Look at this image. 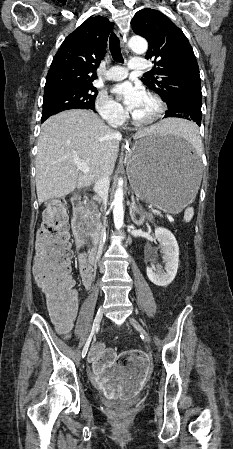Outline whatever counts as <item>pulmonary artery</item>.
Returning <instances> with one entry per match:
<instances>
[{
  "label": "pulmonary artery",
  "mask_w": 233,
  "mask_h": 449,
  "mask_svg": "<svg viewBox=\"0 0 233 449\" xmlns=\"http://www.w3.org/2000/svg\"><path fill=\"white\" fill-rule=\"evenodd\" d=\"M147 68L146 63L141 58H133L127 67L113 66L106 73V79L111 81H120L127 77L128 70L142 71Z\"/></svg>",
  "instance_id": "1"
}]
</instances>
